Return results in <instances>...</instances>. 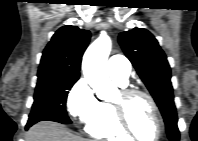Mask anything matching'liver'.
Masks as SVG:
<instances>
[{
    "mask_svg": "<svg viewBox=\"0 0 198 141\" xmlns=\"http://www.w3.org/2000/svg\"><path fill=\"white\" fill-rule=\"evenodd\" d=\"M26 141H89L72 134L64 125L55 122H39L32 126L26 135Z\"/></svg>",
    "mask_w": 198,
    "mask_h": 141,
    "instance_id": "1",
    "label": "liver"
}]
</instances>
